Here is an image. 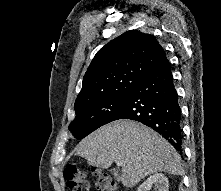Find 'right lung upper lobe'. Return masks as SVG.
<instances>
[{
	"mask_svg": "<svg viewBox=\"0 0 221 191\" xmlns=\"http://www.w3.org/2000/svg\"><path fill=\"white\" fill-rule=\"evenodd\" d=\"M167 60L154 36L130 30L102 47L86 71L75 111L132 91Z\"/></svg>",
	"mask_w": 221,
	"mask_h": 191,
	"instance_id": "right-lung-upper-lobe-1",
	"label": "right lung upper lobe"
}]
</instances>
